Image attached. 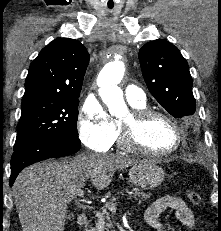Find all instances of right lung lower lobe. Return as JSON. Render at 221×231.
Instances as JSON below:
<instances>
[{
    "mask_svg": "<svg viewBox=\"0 0 221 231\" xmlns=\"http://www.w3.org/2000/svg\"><path fill=\"white\" fill-rule=\"evenodd\" d=\"M80 148V140L46 137L35 139L15 149L11 159L10 186L26 166L49 158L68 156L76 153Z\"/></svg>",
    "mask_w": 221,
    "mask_h": 231,
    "instance_id": "98d812e1",
    "label": "right lung lower lobe"
}]
</instances>
